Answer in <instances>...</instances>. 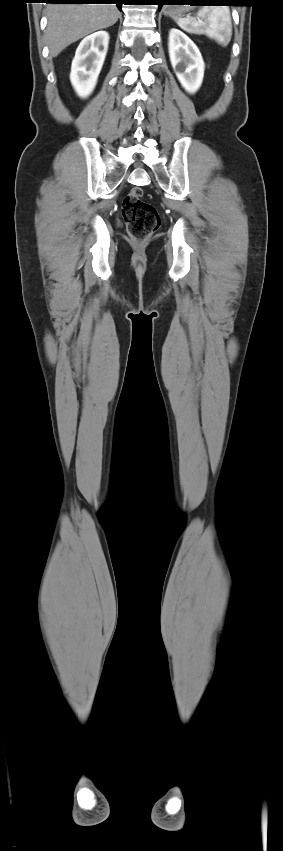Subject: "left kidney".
<instances>
[{
  "label": "left kidney",
  "mask_w": 283,
  "mask_h": 851,
  "mask_svg": "<svg viewBox=\"0 0 283 851\" xmlns=\"http://www.w3.org/2000/svg\"><path fill=\"white\" fill-rule=\"evenodd\" d=\"M169 57L175 74L188 93H195L204 76V61L193 41L178 29L169 32Z\"/></svg>",
  "instance_id": "5707ae66"
}]
</instances>
